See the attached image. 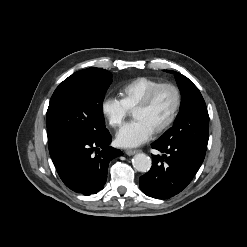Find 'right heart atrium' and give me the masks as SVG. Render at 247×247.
Returning <instances> with one entry per match:
<instances>
[{
  "label": "right heart atrium",
  "instance_id": "obj_1",
  "mask_svg": "<svg viewBox=\"0 0 247 247\" xmlns=\"http://www.w3.org/2000/svg\"><path fill=\"white\" fill-rule=\"evenodd\" d=\"M100 108L104 118L113 128L120 126L129 113L122 100L114 96H105Z\"/></svg>",
  "mask_w": 247,
  "mask_h": 247
}]
</instances>
